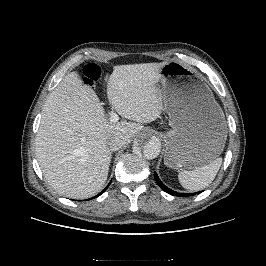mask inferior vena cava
<instances>
[{"label":"inferior vena cava","instance_id":"602c4592","mask_svg":"<svg viewBox=\"0 0 266 266\" xmlns=\"http://www.w3.org/2000/svg\"><path fill=\"white\" fill-rule=\"evenodd\" d=\"M126 144L122 136H113L107 141V147L110 151H117Z\"/></svg>","mask_w":266,"mask_h":266}]
</instances>
